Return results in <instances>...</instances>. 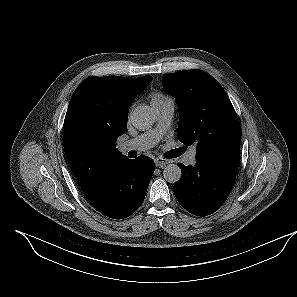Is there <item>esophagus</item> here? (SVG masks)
I'll return each instance as SVG.
<instances>
[{
	"instance_id": "esophagus-1",
	"label": "esophagus",
	"mask_w": 297,
	"mask_h": 297,
	"mask_svg": "<svg viewBox=\"0 0 297 297\" xmlns=\"http://www.w3.org/2000/svg\"><path fill=\"white\" fill-rule=\"evenodd\" d=\"M154 162L157 167H164L165 165L170 163V160L164 158H156Z\"/></svg>"
}]
</instances>
